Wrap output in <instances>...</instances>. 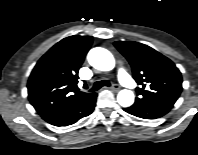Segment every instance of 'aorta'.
I'll use <instances>...</instances> for the list:
<instances>
[{
  "instance_id": "1",
  "label": "aorta",
  "mask_w": 198,
  "mask_h": 155,
  "mask_svg": "<svg viewBox=\"0 0 198 155\" xmlns=\"http://www.w3.org/2000/svg\"><path fill=\"white\" fill-rule=\"evenodd\" d=\"M89 64L101 71H110L115 67V59L110 51L102 47H96L87 55ZM134 93L123 89L117 95V101L122 107H129L134 103Z\"/></svg>"
}]
</instances>
